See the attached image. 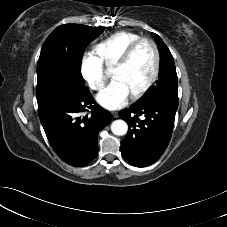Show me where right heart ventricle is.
<instances>
[{"mask_svg":"<svg viewBox=\"0 0 227 227\" xmlns=\"http://www.w3.org/2000/svg\"><path fill=\"white\" fill-rule=\"evenodd\" d=\"M140 38V35L130 31L115 32L95 46L96 54L106 66L114 65L123 55L127 47Z\"/></svg>","mask_w":227,"mask_h":227,"instance_id":"e07e8e85","label":"right heart ventricle"}]
</instances>
